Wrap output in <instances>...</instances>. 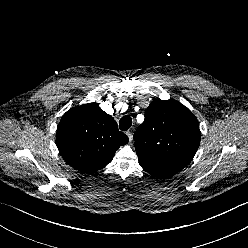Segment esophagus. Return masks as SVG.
Segmentation results:
<instances>
[{"mask_svg": "<svg viewBox=\"0 0 248 248\" xmlns=\"http://www.w3.org/2000/svg\"><path fill=\"white\" fill-rule=\"evenodd\" d=\"M126 135H127L128 139H129V141L131 142L133 140V134H132V132L130 130H128L126 132Z\"/></svg>", "mask_w": 248, "mask_h": 248, "instance_id": "esophagus-1", "label": "esophagus"}]
</instances>
